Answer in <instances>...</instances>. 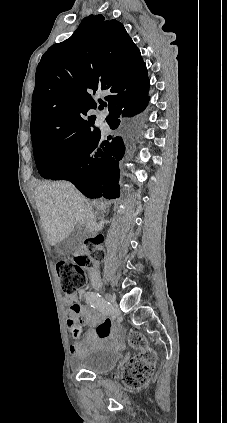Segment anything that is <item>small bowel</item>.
I'll return each mask as SVG.
<instances>
[{
	"instance_id": "1",
	"label": "small bowel",
	"mask_w": 227,
	"mask_h": 423,
	"mask_svg": "<svg viewBox=\"0 0 227 423\" xmlns=\"http://www.w3.org/2000/svg\"><path fill=\"white\" fill-rule=\"evenodd\" d=\"M76 300L75 294L67 295L64 298L65 303L69 306L66 322L72 336L76 339L70 345L72 355H78L86 350V347L79 341L83 324L88 326L85 334V343L88 348L97 347L113 338L116 340L121 338L122 329L114 327L110 318L95 309L74 303Z\"/></svg>"
}]
</instances>
